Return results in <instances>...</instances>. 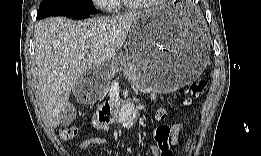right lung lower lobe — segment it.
I'll list each match as a JSON object with an SVG mask.
<instances>
[{"label":"right lung lower lobe","mask_w":261,"mask_h":156,"mask_svg":"<svg viewBox=\"0 0 261 156\" xmlns=\"http://www.w3.org/2000/svg\"><path fill=\"white\" fill-rule=\"evenodd\" d=\"M90 15H79V16H76V17H73V18H76V19H85L87 17H89Z\"/></svg>","instance_id":"obj_1"}]
</instances>
